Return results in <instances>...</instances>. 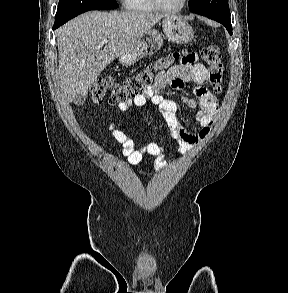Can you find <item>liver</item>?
I'll list each match as a JSON object with an SVG mask.
<instances>
[{
    "label": "liver",
    "instance_id": "1",
    "mask_svg": "<svg viewBox=\"0 0 288 293\" xmlns=\"http://www.w3.org/2000/svg\"><path fill=\"white\" fill-rule=\"evenodd\" d=\"M167 15L149 12L90 11L57 31L58 73L67 102L86 96L104 68ZM108 44L101 50V41Z\"/></svg>",
    "mask_w": 288,
    "mask_h": 293
}]
</instances>
